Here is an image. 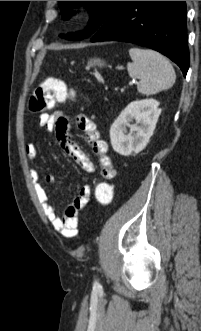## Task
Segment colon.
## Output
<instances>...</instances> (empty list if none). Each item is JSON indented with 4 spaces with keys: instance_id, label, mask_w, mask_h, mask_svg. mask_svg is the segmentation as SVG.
Returning a JSON list of instances; mask_svg holds the SVG:
<instances>
[{
    "instance_id": "5ec220e1",
    "label": "colon",
    "mask_w": 201,
    "mask_h": 331,
    "mask_svg": "<svg viewBox=\"0 0 201 331\" xmlns=\"http://www.w3.org/2000/svg\"><path fill=\"white\" fill-rule=\"evenodd\" d=\"M75 93L67 85L56 78L44 80L33 92L29 107L33 112H43L74 98ZM95 199L101 207H107L113 200V187L107 181H101L95 188Z\"/></svg>"
}]
</instances>
